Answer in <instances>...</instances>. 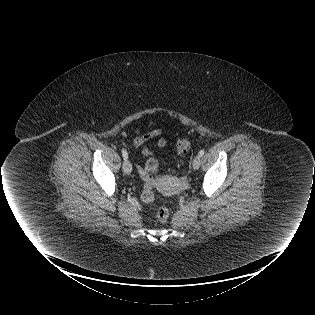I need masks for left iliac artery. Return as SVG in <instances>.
<instances>
[{
	"label": "left iliac artery",
	"mask_w": 315,
	"mask_h": 315,
	"mask_svg": "<svg viewBox=\"0 0 315 315\" xmlns=\"http://www.w3.org/2000/svg\"><path fill=\"white\" fill-rule=\"evenodd\" d=\"M204 153H205V150H204V149H201V150L199 151L198 155H199L200 157H202V156L204 155Z\"/></svg>",
	"instance_id": "obj_1"
}]
</instances>
